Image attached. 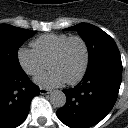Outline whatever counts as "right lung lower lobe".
Returning a JSON list of instances; mask_svg holds the SVG:
<instances>
[{"mask_svg": "<svg viewBox=\"0 0 128 128\" xmlns=\"http://www.w3.org/2000/svg\"><path fill=\"white\" fill-rule=\"evenodd\" d=\"M23 71L0 69V128H16L26 119L32 98L39 95Z\"/></svg>", "mask_w": 128, "mask_h": 128, "instance_id": "98d812e1", "label": "right lung lower lobe"}]
</instances>
